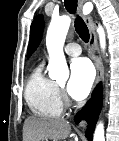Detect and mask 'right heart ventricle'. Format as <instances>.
I'll return each mask as SVG.
<instances>
[{
    "instance_id": "1",
    "label": "right heart ventricle",
    "mask_w": 119,
    "mask_h": 141,
    "mask_svg": "<svg viewBox=\"0 0 119 141\" xmlns=\"http://www.w3.org/2000/svg\"><path fill=\"white\" fill-rule=\"evenodd\" d=\"M25 99L36 116L58 118L63 112L58 85L44 74L42 65L30 75L25 87Z\"/></svg>"
}]
</instances>
